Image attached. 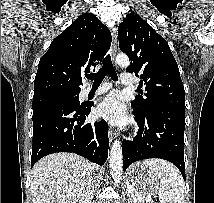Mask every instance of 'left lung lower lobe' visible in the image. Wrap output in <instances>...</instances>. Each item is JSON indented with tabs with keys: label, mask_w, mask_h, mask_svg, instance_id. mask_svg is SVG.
Masks as SVG:
<instances>
[{
	"label": "left lung lower lobe",
	"mask_w": 214,
	"mask_h": 203,
	"mask_svg": "<svg viewBox=\"0 0 214 203\" xmlns=\"http://www.w3.org/2000/svg\"><path fill=\"white\" fill-rule=\"evenodd\" d=\"M134 115L139 130L133 141L122 142L124 171L133 162L160 158L173 163L185 179V109L161 107Z\"/></svg>",
	"instance_id": "0a47b994"
}]
</instances>
